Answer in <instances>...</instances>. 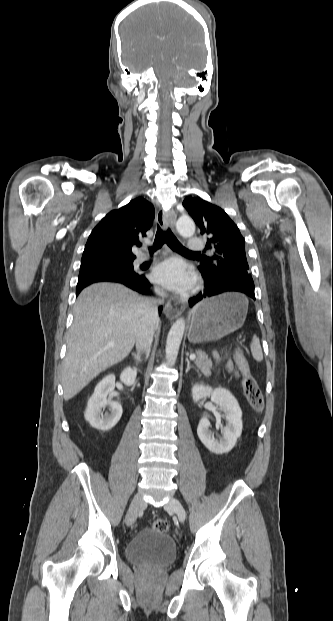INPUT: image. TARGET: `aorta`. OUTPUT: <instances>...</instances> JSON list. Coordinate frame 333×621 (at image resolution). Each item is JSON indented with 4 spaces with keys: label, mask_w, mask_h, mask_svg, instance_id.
<instances>
[{
    "label": "aorta",
    "mask_w": 333,
    "mask_h": 621,
    "mask_svg": "<svg viewBox=\"0 0 333 621\" xmlns=\"http://www.w3.org/2000/svg\"><path fill=\"white\" fill-rule=\"evenodd\" d=\"M177 231L185 238H189L194 235L195 224L190 218H180L177 221ZM185 330V320L178 318L172 325L166 341V361L169 366H173L176 363L180 344L183 338Z\"/></svg>",
    "instance_id": "aorta-1"
}]
</instances>
